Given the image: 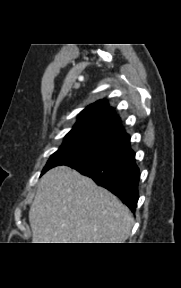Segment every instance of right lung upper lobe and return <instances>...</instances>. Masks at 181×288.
<instances>
[{
    "mask_svg": "<svg viewBox=\"0 0 181 288\" xmlns=\"http://www.w3.org/2000/svg\"><path fill=\"white\" fill-rule=\"evenodd\" d=\"M65 140H79L109 150L113 156L131 150L129 135L120 126V118L106 100L86 107ZM64 140V141H65Z\"/></svg>",
    "mask_w": 181,
    "mask_h": 288,
    "instance_id": "right-lung-upper-lobe-1",
    "label": "right lung upper lobe"
}]
</instances>
